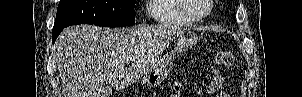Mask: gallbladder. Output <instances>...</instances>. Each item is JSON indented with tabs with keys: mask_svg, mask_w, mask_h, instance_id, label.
<instances>
[{
	"mask_svg": "<svg viewBox=\"0 0 302 97\" xmlns=\"http://www.w3.org/2000/svg\"><path fill=\"white\" fill-rule=\"evenodd\" d=\"M112 93V88L110 86H104L100 97H109V95Z\"/></svg>",
	"mask_w": 302,
	"mask_h": 97,
	"instance_id": "1",
	"label": "gallbladder"
}]
</instances>
